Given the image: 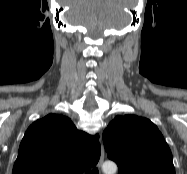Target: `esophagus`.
Returning <instances> with one entry per match:
<instances>
[{"label": "esophagus", "mask_w": 187, "mask_h": 174, "mask_svg": "<svg viewBox=\"0 0 187 174\" xmlns=\"http://www.w3.org/2000/svg\"><path fill=\"white\" fill-rule=\"evenodd\" d=\"M104 155H105L104 145L101 141V154H100V158H99V161H98V167H101V165L104 161Z\"/></svg>", "instance_id": "1"}]
</instances>
